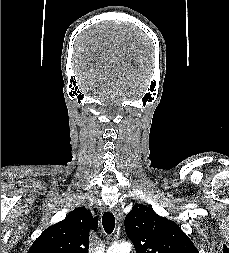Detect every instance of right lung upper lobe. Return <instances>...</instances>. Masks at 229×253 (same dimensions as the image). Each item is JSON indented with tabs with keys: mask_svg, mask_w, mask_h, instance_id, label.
Masks as SVG:
<instances>
[{
	"mask_svg": "<svg viewBox=\"0 0 229 253\" xmlns=\"http://www.w3.org/2000/svg\"><path fill=\"white\" fill-rule=\"evenodd\" d=\"M98 227V218L85 207L70 212L64 220L47 228L28 253H88L89 232Z\"/></svg>",
	"mask_w": 229,
	"mask_h": 253,
	"instance_id": "obj_1",
	"label": "right lung upper lobe"
}]
</instances>
